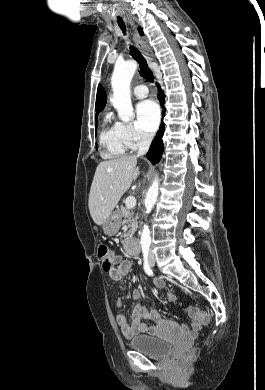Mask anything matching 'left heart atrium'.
Listing matches in <instances>:
<instances>
[{
    "mask_svg": "<svg viewBox=\"0 0 265 390\" xmlns=\"http://www.w3.org/2000/svg\"><path fill=\"white\" fill-rule=\"evenodd\" d=\"M137 126L147 134L153 133L160 121L159 108L152 100H144L136 106Z\"/></svg>",
    "mask_w": 265,
    "mask_h": 390,
    "instance_id": "1",
    "label": "left heart atrium"
}]
</instances>
